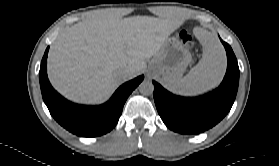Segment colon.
<instances>
[{
  "mask_svg": "<svg viewBox=\"0 0 279 166\" xmlns=\"http://www.w3.org/2000/svg\"><path fill=\"white\" fill-rule=\"evenodd\" d=\"M179 39L185 47L190 48L194 44L193 35L191 34V32H189L187 30H182L179 33Z\"/></svg>",
  "mask_w": 279,
  "mask_h": 166,
  "instance_id": "colon-1",
  "label": "colon"
}]
</instances>
